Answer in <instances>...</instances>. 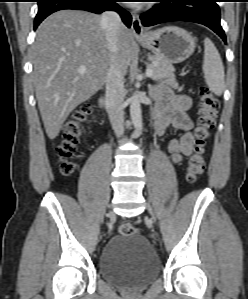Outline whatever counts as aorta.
I'll return each instance as SVG.
<instances>
[{
    "mask_svg": "<svg viewBox=\"0 0 248 299\" xmlns=\"http://www.w3.org/2000/svg\"><path fill=\"white\" fill-rule=\"evenodd\" d=\"M130 117L135 129L141 130L143 126L141 104L137 94L133 95L130 99Z\"/></svg>",
    "mask_w": 248,
    "mask_h": 299,
    "instance_id": "obj_1",
    "label": "aorta"
}]
</instances>
